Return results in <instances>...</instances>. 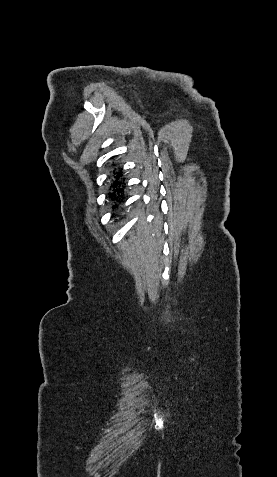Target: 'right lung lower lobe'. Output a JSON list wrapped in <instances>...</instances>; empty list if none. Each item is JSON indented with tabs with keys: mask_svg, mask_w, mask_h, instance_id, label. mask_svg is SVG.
<instances>
[{
	"mask_svg": "<svg viewBox=\"0 0 277 477\" xmlns=\"http://www.w3.org/2000/svg\"><path fill=\"white\" fill-rule=\"evenodd\" d=\"M114 174L115 176L111 185V192L109 193V198L113 201H118L122 198L123 189L121 188L122 183L120 181V177L122 174L119 171H114ZM113 208H115V206H113Z\"/></svg>",
	"mask_w": 277,
	"mask_h": 477,
	"instance_id": "1",
	"label": "right lung lower lobe"
}]
</instances>
